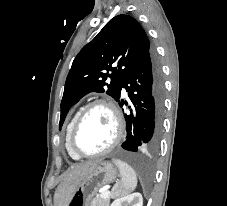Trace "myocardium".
<instances>
[{
    "label": "myocardium",
    "instance_id": "myocardium-1",
    "mask_svg": "<svg viewBox=\"0 0 227 206\" xmlns=\"http://www.w3.org/2000/svg\"><path fill=\"white\" fill-rule=\"evenodd\" d=\"M98 106H104L108 108L109 111L111 112L115 122V136L110 145L105 149L96 153H84L80 151L76 146V135L85 116L89 113L90 110ZM123 136H124V121L120 109L112 100L107 98H98L87 104L79 113L70 133L69 146L71 151L78 157L94 158L105 155L112 151L121 142Z\"/></svg>",
    "mask_w": 227,
    "mask_h": 206
}]
</instances>
